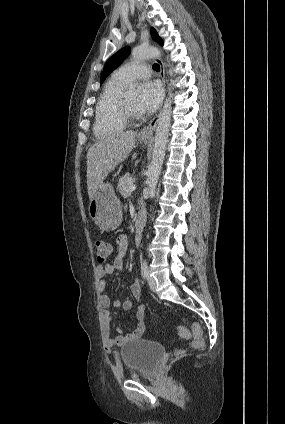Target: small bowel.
<instances>
[{"label": "small bowel", "mask_w": 285, "mask_h": 424, "mask_svg": "<svg viewBox=\"0 0 285 424\" xmlns=\"http://www.w3.org/2000/svg\"><path fill=\"white\" fill-rule=\"evenodd\" d=\"M117 246V252L114 260L111 263L105 265H99L96 268L97 276L99 279V293H100V306L104 309V319L107 324H110L115 313L107 310L111 304L110 297L105 293L107 276L113 275L115 273H123V257L128 248V239L125 234H120L115 240ZM130 292L133 299L136 301L134 305L133 300L130 297H126L124 300H114V307H122L124 310H131L134 308L136 325L131 332L125 333L121 328H117V336L113 339H108L106 341V348L111 349L114 346H121L124 343L130 340H136L143 336L145 333V308L141 304V284L137 280L130 286Z\"/></svg>", "instance_id": "small-bowel-1"}]
</instances>
